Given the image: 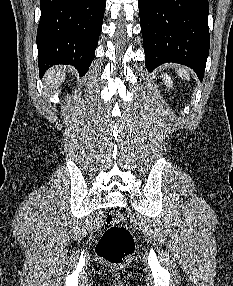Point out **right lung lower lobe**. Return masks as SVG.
Returning <instances> with one entry per match:
<instances>
[{"label": "right lung lower lobe", "instance_id": "98d812e1", "mask_svg": "<svg viewBox=\"0 0 233 286\" xmlns=\"http://www.w3.org/2000/svg\"><path fill=\"white\" fill-rule=\"evenodd\" d=\"M106 0H40L37 30L40 76L57 64L85 74L94 59Z\"/></svg>", "mask_w": 233, "mask_h": 286}]
</instances>
